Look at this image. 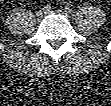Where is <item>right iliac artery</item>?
<instances>
[{"label":"right iliac artery","mask_w":111,"mask_h":106,"mask_svg":"<svg viewBox=\"0 0 111 106\" xmlns=\"http://www.w3.org/2000/svg\"><path fill=\"white\" fill-rule=\"evenodd\" d=\"M45 11H50L51 10V6L50 5H46V6H44V8H43Z\"/></svg>","instance_id":"obj_1"}]
</instances>
